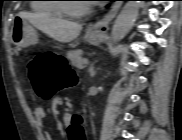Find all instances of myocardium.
<instances>
[{"label": "myocardium", "instance_id": "myocardium-1", "mask_svg": "<svg viewBox=\"0 0 182 140\" xmlns=\"http://www.w3.org/2000/svg\"><path fill=\"white\" fill-rule=\"evenodd\" d=\"M59 9L67 17L78 18L87 14L90 10V6L88 4H85L81 9L74 10L69 7L68 3L65 2V0H63V2L59 4Z\"/></svg>", "mask_w": 182, "mask_h": 140}]
</instances>
